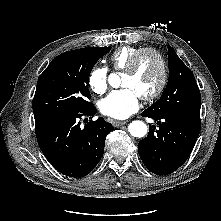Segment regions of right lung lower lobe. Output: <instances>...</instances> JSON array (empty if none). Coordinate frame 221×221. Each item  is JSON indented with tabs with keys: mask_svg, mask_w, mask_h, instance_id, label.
I'll return each instance as SVG.
<instances>
[{
	"mask_svg": "<svg viewBox=\"0 0 221 221\" xmlns=\"http://www.w3.org/2000/svg\"><path fill=\"white\" fill-rule=\"evenodd\" d=\"M96 107L84 113L53 115L35 120L38 144L47 160L70 177L88 175L102 158L106 136L113 130L102 117L81 127L79 119L93 116ZM91 118V117H90Z\"/></svg>",
	"mask_w": 221,
	"mask_h": 221,
	"instance_id": "98d812e1",
	"label": "right lung lower lobe"
}]
</instances>
